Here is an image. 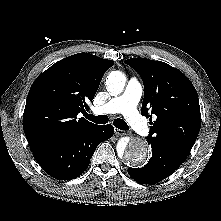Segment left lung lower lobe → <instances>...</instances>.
Wrapping results in <instances>:
<instances>
[{"label":"left lung lower lobe","mask_w":221,"mask_h":221,"mask_svg":"<svg viewBox=\"0 0 221 221\" xmlns=\"http://www.w3.org/2000/svg\"><path fill=\"white\" fill-rule=\"evenodd\" d=\"M152 158L142 168H128L129 175L138 183L154 184L170 176L184 161L186 156L159 143L148 142Z\"/></svg>","instance_id":"0a47b994"}]
</instances>
